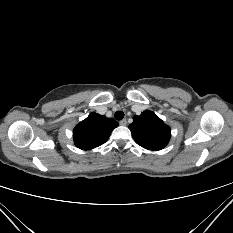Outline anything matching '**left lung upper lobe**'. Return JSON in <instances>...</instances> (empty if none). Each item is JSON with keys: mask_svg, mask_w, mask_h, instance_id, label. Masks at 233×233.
Masks as SVG:
<instances>
[{"mask_svg": "<svg viewBox=\"0 0 233 233\" xmlns=\"http://www.w3.org/2000/svg\"><path fill=\"white\" fill-rule=\"evenodd\" d=\"M129 129L138 145L153 151L163 149L171 137L170 127L152 111L134 116Z\"/></svg>", "mask_w": 233, "mask_h": 233, "instance_id": "5c2ea615", "label": "left lung upper lobe"}]
</instances>
